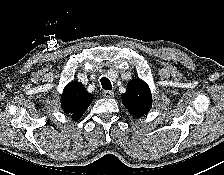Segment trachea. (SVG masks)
Returning a JSON list of instances; mask_svg holds the SVG:
<instances>
[{
  "label": "trachea",
  "mask_w": 224,
  "mask_h": 175,
  "mask_svg": "<svg viewBox=\"0 0 224 175\" xmlns=\"http://www.w3.org/2000/svg\"><path fill=\"white\" fill-rule=\"evenodd\" d=\"M100 82H101L102 88L104 90H108V91L112 90V85H111V82L108 78L102 77L100 79Z\"/></svg>",
  "instance_id": "1"
}]
</instances>
